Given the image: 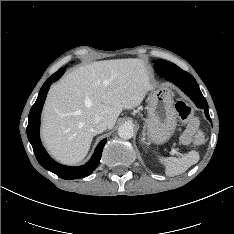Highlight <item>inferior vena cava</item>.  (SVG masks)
I'll return each instance as SVG.
<instances>
[{"mask_svg": "<svg viewBox=\"0 0 234 234\" xmlns=\"http://www.w3.org/2000/svg\"><path fill=\"white\" fill-rule=\"evenodd\" d=\"M106 128H107V123L105 120H103L99 117H96L93 120L91 130L94 134L102 133L106 130Z\"/></svg>", "mask_w": 234, "mask_h": 234, "instance_id": "obj_1", "label": "inferior vena cava"}]
</instances>
